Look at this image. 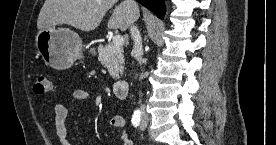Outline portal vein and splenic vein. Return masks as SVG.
I'll return each instance as SVG.
<instances>
[{"instance_id": "obj_1", "label": "portal vein and splenic vein", "mask_w": 276, "mask_h": 145, "mask_svg": "<svg viewBox=\"0 0 276 145\" xmlns=\"http://www.w3.org/2000/svg\"><path fill=\"white\" fill-rule=\"evenodd\" d=\"M112 42L115 47H122L124 45V38L120 35H115Z\"/></svg>"}]
</instances>
